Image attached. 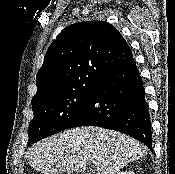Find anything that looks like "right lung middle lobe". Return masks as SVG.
Listing matches in <instances>:
<instances>
[{
    "mask_svg": "<svg viewBox=\"0 0 175 174\" xmlns=\"http://www.w3.org/2000/svg\"><path fill=\"white\" fill-rule=\"evenodd\" d=\"M94 86L65 91L32 104L34 118L29 125L27 145L67 129L83 109Z\"/></svg>",
    "mask_w": 175,
    "mask_h": 174,
    "instance_id": "dd1d6c3e",
    "label": "right lung middle lobe"
}]
</instances>
